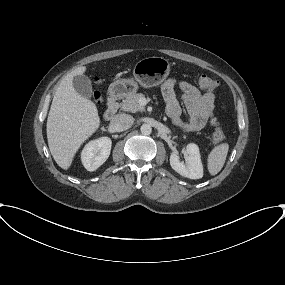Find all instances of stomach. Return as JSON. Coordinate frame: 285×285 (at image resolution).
Wrapping results in <instances>:
<instances>
[{
  "label": "stomach",
  "instance_id": "0dacf381",
  "mask_svg": "<svg viewBox=\"0 0 285 285\" xmlns=\"http://www.w3.org/2000/svg\"><path fill=\"white\" fill-rule=\"evenodd\" d=\"M170 73V63L163 57H147L139 60L134 68V78L118 79L110 84L108 92L114 98L135 93L139 85L150 88L161 84Z\"/></svg>",
  "mask_w": 285,
  "mask_h": 285
}]
</instances>
